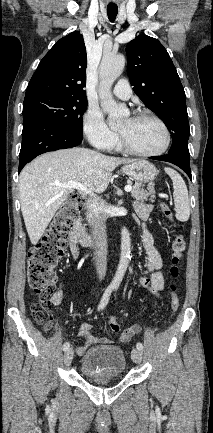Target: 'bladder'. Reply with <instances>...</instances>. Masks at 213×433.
I'll list each match as a JSON object with an SVG mask.
<instances>
[{
  "label": "bladder",
  "instance_id": "1",
  "mask_svg": "<svg viewBox=\"0 0 213 433\" xmlns=\"http://www.w3.org/2000/svg\"><path fill=\"white\" fill-rule=\"evenodd\" d=\"M126 370V357L122 348L99 345L90 348L80 360V371L91 379L120 377Z\"/></svg>",
  "mask_w": 213,
  "mask_h": 433
}]
</instances>
